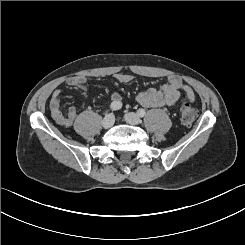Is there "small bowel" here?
<instances>
[{"mask_svg":"<svg viewBox=\"0 0 245 245\" xmlns=\"http://www.w3.org/2000/svg\"><path fill=\"white\" fill-rule=\"evenodd\" d=\"M114 78L122 84H128L133 80V76L126 73H116ZM66 82L69 86L77 87L82 90H85L87 85L85 76H72L68 78ZM182 90L190 101L195 99L193 90L185 85L179 77L169 76L160 89H143L137 94L136 100L143 107H174L178 103ZM61 96L62 92L60 89H56L53 92L50 100L51 116L60 126L71 127L78 113L74 107H71L68 109L67 113L64 114L61 111ZM120 101L121 96L119 93L114 92L111 94V103Z\"/></svg>","mask_w":245,"mask_h":245,"instance_id":"c3829d8e","label":"small bowel"}]
</instances>
